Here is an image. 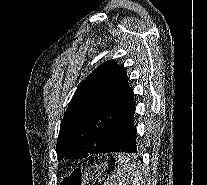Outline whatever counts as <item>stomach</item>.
<instances>
[{"mask_svg":"<svg viewBox=\"0 0 207 185\" xmlns=\"http://www.w3.org/2000/svg\"><path fill=\"white\" fill-rule=\"evenodd\" d=\"M87 175L85 169H75L63 178L61 185H85L88 180Z\"/></svg>","mask_w":207,"mask_h":185,"instance_id":"obj_1","label":"stomach"}]
</instances>
